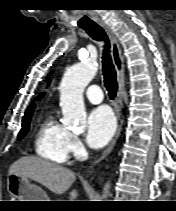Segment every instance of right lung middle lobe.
Returning a JSON list of instances; mask_svg holds the SVG:
<instances>
[{
	"mask_svg": "<svg viewBox=\"0 0 176 211\" xmlns=\"http://www.w3.org/2000/svg\"><path fill=\"white\" fill-rule=\"evenodd\" d=\"M32 114L25 115L22 120V128L19 132L18 139H22L29 130V124Z\"/></svg>",
	"mask_w": 176,
	"mask_h": 211,
	"instance_id": "right-lung-middle-lobe-1",
	"label": "right lung middle lobe"
}]
</instances>
